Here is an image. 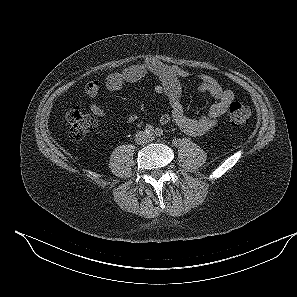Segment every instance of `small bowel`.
Here are the masks:
<instances>
[{
  "label": "small bowel",
  "mask_w": 297,
  "mask_h": 297,
  "mask_svg": "<svg viewBox=\"0 0 297 297\" xmlns=\"http://www.w3.org/2000/svg\"><path fill=\"white\" fill-rule=\"evenodd\" d=\"M149 75L156 77L160 82L154 87V92L165 95L168 102V110L164 111L159 117L160 123L168 124L173 122L182 132L189 136L200 137L214 129L220 117L228 111L235 99L232 90L223 87L218 81L209 76H202L198 83V89L213 97L215 103L205 116L197 119L191 118L185 114L181 103V79L189 77L188 71L165 65L153 58H148L141 64L131 65L121 72L111 73L105 79L104 86L107 90L116 92L126 84L138 82ZM101 86V82L91 81L87 84L85 92L89 97L96 98ZM89 109L96 118L106 119L107 113L99 104L92 102ZM138 118L136 113H130L126 121L129 124H134L138 121Z\"/></svg>",
  "instance_id": "c3829d8e"
}]
</instances>
